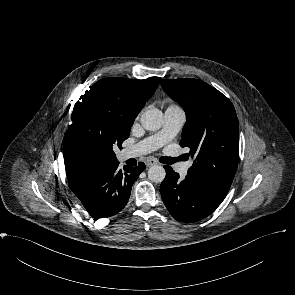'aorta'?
Listing matches in <instances>:
<instances>
[{
    "label": "aorta",
    "mask_w": 295,
    "mask_h": 295,
    "mask_svg": "<svg viewBox=\"0 0 295 295\" xmlns=\"http://www.w3.org/2000/svg\"><path fill=\"white\" fill-rule=\"evenodd\" d=\"M141 125L148 131L159 130L163 124V113L159 109H149L140 118ZM166 176L165 169L160 165L151 166L148 169V178L154 183H161Z\"/></svg>",
    "instance_id": "1"
}]
</instances>
